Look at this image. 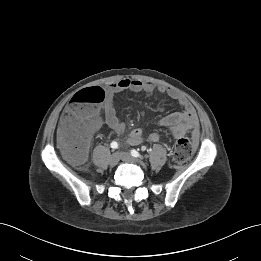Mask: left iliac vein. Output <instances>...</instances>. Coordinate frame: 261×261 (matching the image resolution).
<instances>
[{"label":"left iliac vein","mask_w":261,"mask_h":261,"mask_svg":"<svg viewBox=\"0 0 261 261\" xmlns=\"http://www.w3.org/2000/svg\"><path fill=\"white\" fill-rule=\"evenodd\" d=\"M118 156L120 157L121 160H123L125 162L133 163V164L138 163V160L127 152L120 151V152H118Z\"/></svg>","instance_id":"left-iliac-vein-1"}]
</instances>
